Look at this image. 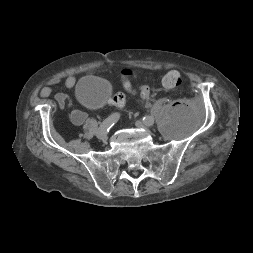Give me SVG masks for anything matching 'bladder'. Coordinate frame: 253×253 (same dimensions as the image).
Segmentation results:
<instances>
[{"label":"bladder","instance_id":"31cf9c89","mask_svg":"<svg viewBox=\"0 0 253 253\" xmlns=\"http://www.w3.org/2000/svg\"><path fill=\"white\" fill-rule=\"evenodd\" d=\"M75 93L80 104L89 108H99L109 101L111 87L102 78L86 76L77 83Z\"/></svg>","mask_w":253,"mask_h":253}]
</instances>
